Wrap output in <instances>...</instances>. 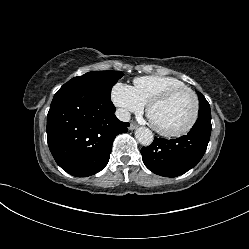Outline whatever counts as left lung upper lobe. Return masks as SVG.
I'll return each instance as SVG.
<instances>
[{
  "mask_svg": "<svg viewBox=\"0 0 249 249\" xmlns=\"http://www.w3.org/2000/svg\"><path fill=\"white\" fill-rule=\"evenodd\" d=\"M199 98V113L198 116H211L210 105L202 93L197 92Z\"/></svg>",
  "mask_w": 249,
  "mask_h": 249,
  "instance_id": "left-lung-upper-lobe-1",
  "label": "left lung upper lobe"
}]
</instances>
